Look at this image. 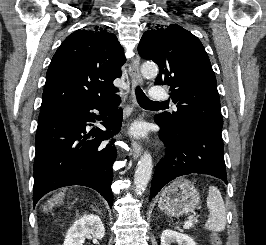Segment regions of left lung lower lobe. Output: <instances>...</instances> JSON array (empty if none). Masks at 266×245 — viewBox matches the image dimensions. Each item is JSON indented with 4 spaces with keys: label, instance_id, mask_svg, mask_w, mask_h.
<instances>
[{
    "label": "left lung lower lobe",
    "instance_id": "obj_1",
    "mask_svg": "<svg viewBox=\"0 0 266 245\" xmlns=\"http://www.w3.org/2000/svg\"><path fill=\"white\" fill-rule=\"evenodd\" d=\"M166 155L156 166L151 182V200L161 188L176 177L202 173L222 179L227 184L221 130L197 122H184L175 131L156 117Z\"/></svg>",
    "mask_w": 266,
    "mask_h": 245
}]
</instances>
